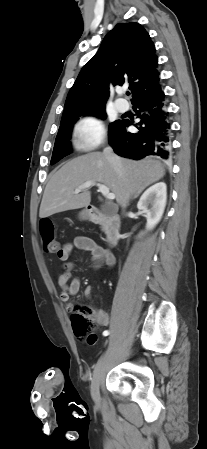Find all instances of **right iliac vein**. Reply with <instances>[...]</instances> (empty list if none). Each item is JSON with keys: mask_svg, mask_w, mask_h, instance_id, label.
<instances>
[{"mask_svg": "<svg viewBox=\"0 0 207 449\" xmlns=\"http://www.w3.org/2000/svg\"><path fill=\"white\" fill-rule=\"evenodd\" d=\"M106 357L107 354H103L100 359L98 360L94 372H93V376L91 379V396L92 399L95 403H99L100 402V381H101V377H102V373H103V369H104V365H105V361H106Z\"/></svg>", "mask_w": 207, "mask_h": 449, "instance_id": "right-iliac-vein-1", "label": "right iliac vein"}]
</instances>
